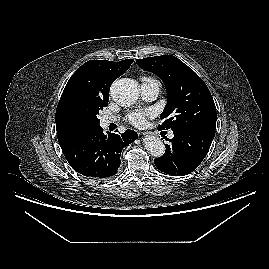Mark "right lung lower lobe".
<instances>
[{"label": "right lung lower lobe", "instance_id": "right-lung-lower-lobe-1", "mask_svg": "<svg viewBox=\"0 0 269 269\" xmlns=\"http://www.w3.org/2000/svg\"><path fill=\"white\" fill-rule=\"evenodd\" d=\"M138 137L133 130L124 134L103 132L99 126L59 141L71 167L88 179H106L118 172L122 149Z\"/></svg>", "mask_w": 269, "mask_h": 269}]
</instances>
